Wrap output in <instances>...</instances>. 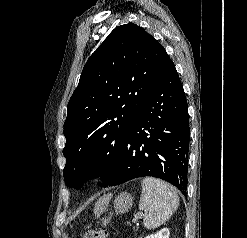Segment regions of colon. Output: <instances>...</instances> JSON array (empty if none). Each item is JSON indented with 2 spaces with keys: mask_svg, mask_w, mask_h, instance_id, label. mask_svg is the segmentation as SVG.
<instances>
[{
  "mask_svg": "<svg viewBox=\"0 0 247 238\" xmlns=\"http://www.w3.org/2000/svg\"><path fill=\"white\" fill-rule=\"evenodd\" d=\"M84 238H107V233L102 229L92 230L87 232Z\"/></svg>",
  "mask_w": 247,
  "mask_h": 238,
  "instance_id": "5ec220e1",
  "label": "colon"
}]
</instances>
